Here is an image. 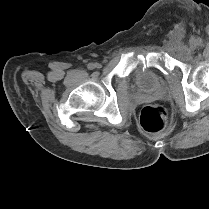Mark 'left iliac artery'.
<instances>
[{"label":"left iliac artery","mask_w":209,"mask_h":209,"mask_svg":"<svg viewBox=\"0 0 209 209\" xmlns=\"http://www.w3.org/2000/svg\"><path fill=\"white\" fill-rule=\"evenodd\" d=\"M201 44V39H197V45Z\"/></svg>","instance_id":"left-iliac-artery-1"}]
</instances>
